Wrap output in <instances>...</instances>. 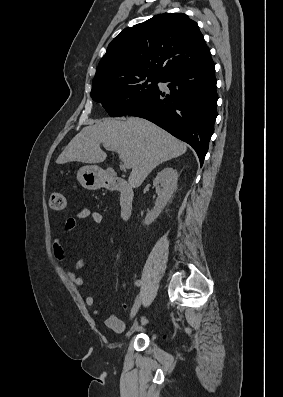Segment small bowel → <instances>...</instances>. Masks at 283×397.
<instances>
[{
	"mask_svg": "<svg viewBox=\"0 0 283 397\" xmlns=\"http://www.w3.org/2000/svg\"><path fill=\"white\" fill-rule=\"evenodd\" d=\"M91 219L95 224H101L103 221V216L101 213L83 208L76 212L74 216L68 217L63 222V229L66 233H71L77 226L79 220ZM52 250L54 258L57 261H62L65 257V251L61 238H55L52 243ZM85 261L83 259L77 260L74 264L75 270H81L85 267ZM67 278L70 282H72L76 286H83L86 282L85 278L81 275L76 274L74 271L67 272ZM85 304L88 307H93L95 305V298L93 296H87L85 298ZM124 308L127 309V306L124 305ZM94 315L100 316L101 311L99 309H94ZM105 324L108 328H110L115 333H122L125 329V324L114 314L109 315L105 319Z\"/></svg>",
	"mask_w": 283,
	"mask_h": 397,
	"instance_id": "obj_1",
	"label": "small bowel"
}]
</instances>
